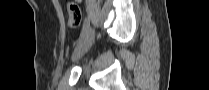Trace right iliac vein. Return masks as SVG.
<instances>
[{
  "label": "right iliac vein",
  "mask_w": 209,
  "mask_h": 90,
  "mask_svg": "<svg viewBox=\"0 0 209 90\" xmlns=\"http://www.w3.org/2000/svg\"><path fill=\"white\" fill-rule=\"evenodd\" d=\"M94 41V30L90 29L81 45L73 52L72 61H78L89 50Z\"/></svg>",
  "instance_id": "right-iliac-vein-1"
}]
</instances>
